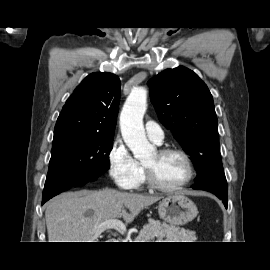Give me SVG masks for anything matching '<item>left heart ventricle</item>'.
Here are the masks:
<instances>
[{
  "mask_svg": "<svg viewBox=\"0 0 270 270\" xmlns=\"http://www.w3.org/2000/svg\"><path fill=\"white\" fill-rule=\"evenodd\" d=\"M155 180L164 186H174L187 175L186 165L178 154L159 155L153 152L145 161Z\"/></svg>",
  "mask_w": 270,
  "mask_h": 270,
  "instance_id": "b2bd125f",
  "label": "left heart ventricle"
}]
</instances>
